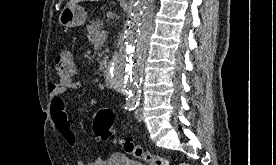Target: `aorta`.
<instances>
[{
    "mask_svg": "<svg viewBox=\"0 0 276 165\" xmlns=\"http://www.w3.org/2000/svg\"><path fill=\"white\" fill-rule=\"evenodd\" d=\"M154 0H136L119 51L108 66L110 84L137 101L145 67L148 39L154 28Z\"/></svg>",
    "mask_w": 276,
    "mask_h": 165,
    "instance_id": "1",
    "label": "aorta"
}]
</instances>
